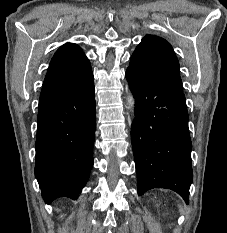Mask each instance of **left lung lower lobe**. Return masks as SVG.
<instances>
[{"instance_id":"1","label":"left lung lower lobe","mask_w":227,"mask_h":233,"mask_svg":"<svg viewBox=\"0 0 227 233\" xmlns=\"http://www.w3.org/2000/svg\"><path fill=\"white\" fill-rule=\"evenodd\" d=\"M125 76L136 100L131 141L138 195L167 188L188 203L193 172L185 96L132 70Z\"/></svg>"}]
</instances>
